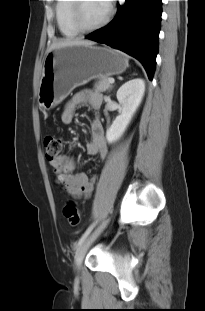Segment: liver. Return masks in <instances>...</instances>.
<instances>
[{"mask_svg":"<svg viewBox=\"0 0 205 311\" xmlns=\"http://www.w3.org/2000/svg\"><path fill=\"white\" fill-rule=\"evenodd\" d=\"M93 44H94L93 41L83 40L79 38L63 39V40L53 42L47 52H50L51 50L56 49V48H61V47L70 46V45H93Z\"/></svg>","mask_w":205,"mask_h":311,"instance_id":"6515ba94","label":"liver"}]
</instances>
